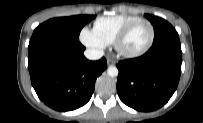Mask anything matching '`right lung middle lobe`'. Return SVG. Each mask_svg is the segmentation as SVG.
I'll list each match as a JSON object with an SVG mask.
<instances>
[{
	"label": "right lung middle lobe",
	"mask_w": 203,
	"mask_h": 123,
	"mask_svg": "<svg viewBox=\"0 0 203 123\" xmlns=\"http://www.w3.org/2000/svg\"><path fill=\"white\" fill-rule=\"evenodd\" d=\"M94 18L93 15H77L50 19L40 24L33 34L48 33L77 40L81 29Z\"/></svg>",
	"instance_id": "dd1d6c3e"
}]
</instances>
